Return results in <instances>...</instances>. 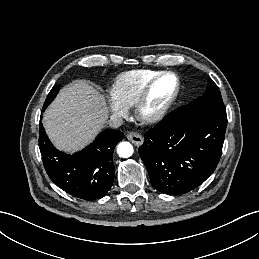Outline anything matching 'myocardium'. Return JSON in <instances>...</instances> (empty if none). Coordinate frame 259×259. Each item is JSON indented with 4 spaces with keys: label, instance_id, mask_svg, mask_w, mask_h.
<instances>
[{
    "label": "myocardium",
    "instance_id": "1",
    "mask_svg": "<svg viewBox=\"0 0 259 259\" xmlns=\"http://www.w3.org/2000/svg\"><path fill=\"white\" fill-rule=\"evenodd\" d=\"M166 76H172L175 78V89L171 97L155 112L151 114L145 113V105L148 100V97L150 95V92L153 88V86L162 78ZM180 79L178 75L173 71H161L157 75H155L152 79H150L142 91L140 92L139 96L137 97L135 103H134V114L137 120L144 124H153L156 122H159L164 118V116L167 114V112L170 110L174 102L176 101L179 92H180Z\"/></svg>",
    "mask_w": 259,
    "mask_h": 259
}]
</instances>
